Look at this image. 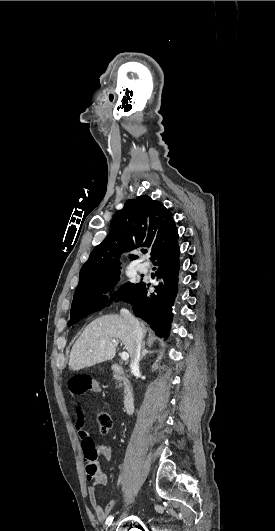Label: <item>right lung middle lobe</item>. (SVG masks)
Listing matches in <instances>:
<instances>
[{
	"instance_id": "1",
	"label": "right lung middle lobe",
	"mask_w": 275,
	"mask_h": 531,
	"mask_svg": "<svg viewBox=\"0 0 275 531\" xmlns=\"http://www.w3.org/2000/svg\"><path fill=\"white\" fill-rule=\"evenodd\" d=\"M120 269L95 277L76 289L71 305V318L68 326L106 306L102 293L119 281ZM137 283L127 282L118 290V297L125 301ZM115 293L112 297H115Z\"/></svg>"
}]
</instances>
